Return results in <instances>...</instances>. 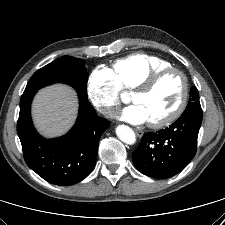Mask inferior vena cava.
<instances>
[{
	"label": "inferior vena cava",
	"instance_id": "obj_1",
	"mask_svg": "<svg viewBox=\"0 0 225 225\" xmlns=\"http://www.w3.org/2000/svg\"><path fill=\"white\" fill-rule=\"evenodd\" d=\"M115 109L113 108H106L103 110V114H105L108 117H112L114 115Z\"/></svg>",
	"mask_w": 225,
	"mask_h": 225
}]
</instances>
